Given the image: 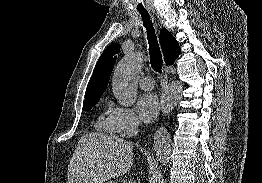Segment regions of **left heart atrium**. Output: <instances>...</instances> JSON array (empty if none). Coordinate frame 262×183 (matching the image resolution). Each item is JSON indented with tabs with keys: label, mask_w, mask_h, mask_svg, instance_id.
Listing matches in <instances>:
<instances>
[{
	"label": "left heart atrium",
	"mask_w": 262,
	"mask_h": 183,
	"mask_svg": "<svg viewBox=\"0 0 262 183\" xmlns=\"http://www.w3.org/2000/svg\"><path fill=\"white\" fill-rule=\"evenodd\" d=\"M138 109L141 118L145 122H152L159 111L158 98L153 93H146L138 100Z\"/></svg>",
	"instance_id": "left-heart-atrium-1"
}]
</instances>
